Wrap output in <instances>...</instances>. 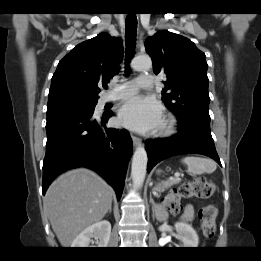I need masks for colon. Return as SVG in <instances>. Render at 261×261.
I'll use <instances>...</instances> for the list:
<instances>
[{
	"instance_id": "colon-1",
	"label": "colon",
	"mask_w": 261,
	"mask_h": 261,
	"mask_svg": "<svg viewBox=\"0 0 261 261\" xmlns=\"http://www.w3.org/2000/svg\"><path fill=\"white\" fill-rule=\"evenodd\" d=\"M215 192V185L206 178H197L181 184L170 191L163 198V206L172 214H178L182 210V199H207ZM216 207L208 205L199 212V221L206 238L210 239L215 233Z\"/></svg>"
}]
</instances>
